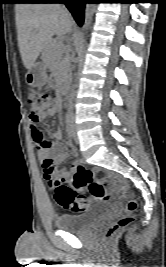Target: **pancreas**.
Masks as SVG:
<instances>
[{
	"label": "pancreas",
	"mask_w": 166,
	"mask_h": 267,
	"mask_svg": "<svg viewBox=\"0 0 166 267\" xmlns=\"http://www.w3.org/2000/svg\"><path fill=\"white\" fill-rule=\"evenodd\" d=\"M68 46L64 45L61 40L53 39L42 52V60L51 69H54L57 75L63 79L69 70L67 59Z\"/></svg>",
	"instance_id": "1"
}]
</instances>
